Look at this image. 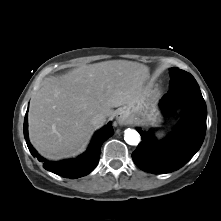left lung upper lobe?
<instances>
[{
    "label": "left lung upper lobe",
    "instance_id": "left-lung-upper-lobe-1",
    "mask_svg": "<svg viewBox=\"0 0 221 221\" xmlns=\"http://www.w3.org/2000/svg\"><path fill=\"white\" fill-rule=\"evenodd\" d=\"M169 70L171 72V80L169 82V87L179 80L193 77L190 73L184 70H179L178 68H170Z\"/></svg>",
    "mask_w": 221,
    "mask_h": 221
}]
</instances>
